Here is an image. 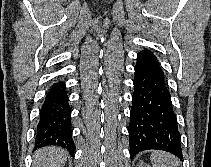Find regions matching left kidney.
Listing matches in <instances>:
<instances>
[{"instance_id": "1", "label": "left kidney", "mask_w": 211, "mask_h": 167, "mask_svg": "<svg viewBox=\"0 0 211 167\" xmlns=\"http://www.w3.org/2000/svg\"><path fill=\"white\" fill-rule=\"evenodd\" d=\"M138 167H150L149 165L145 164L144 162H141Z\"/></svg>"}]
</instances>
